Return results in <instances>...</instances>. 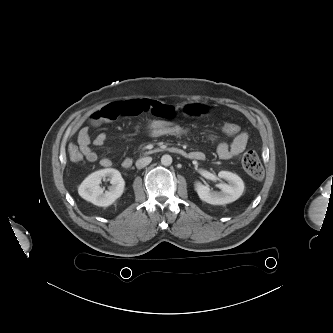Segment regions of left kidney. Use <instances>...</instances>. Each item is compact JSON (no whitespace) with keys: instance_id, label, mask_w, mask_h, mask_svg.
Returning <instances> with one entry per match:
<instances>
[{"instance_id":"5707ae66","label":"left kidney","mask_w":333,"mask_h":333,"mask_svg":"<svg viewBox=\"0 0 333 333\" xmlns=\"http://www.w3.org/2000/svg\"><path fill=\"white\" fill-rule=\"evenodd\" d=\"M218 177L227 181L217 185L220 191H212L209 186L200 182L195 183V190L202 201L213 205H225L236 201L243 194L244 182L238 175L220 171Z\"/></svg>"}]
</instances>
